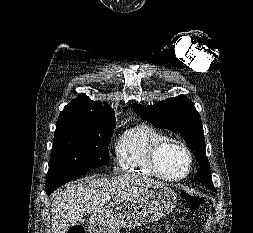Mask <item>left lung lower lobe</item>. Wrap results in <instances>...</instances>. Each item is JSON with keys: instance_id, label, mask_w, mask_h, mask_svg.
Segmentation results:
<instances>
[{"instance_id": "0a47b994", "label": "left lung lower lobe", "mask_w": 253, "mask_h": 233, "mask_svg": "<svg viewBox=\"0 0 253 233\" xmlns=\"http://www.w3.org/2000/svg\"><path fill=\"white\" fill-rule=\"evenodd\" d=\"M210 189H211V188H210ZM211 190L215 191V189H214V188H212Z\"/></svg>"}]
</instances>
